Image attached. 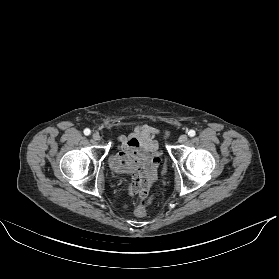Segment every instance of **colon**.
Listing matches in <instances>:
<instances>
[{"label": "colon", "mask_w": 279, "mask_h": 279, "mask_svg": "<svg viewBox=\"0 0 279 279\" xmlns=\"http://www.w3.org/2000/svg\"><path fill=\"white\" fill-rule=\"evenodd\" d=\"M149 205H150L149 200H145V199L141 200L138 203V205L135 207L134 214L138 217H144L147 213V208ZM124 208L128 210L130 207L128 204H125Z\"/></svg>", "instance_id": "5ec220e1"}]
</instances>
